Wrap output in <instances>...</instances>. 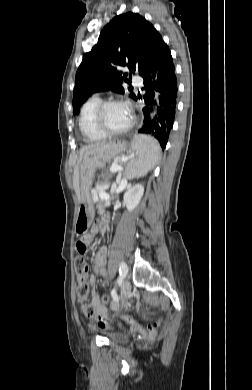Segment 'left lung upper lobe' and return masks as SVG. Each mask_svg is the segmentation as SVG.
<instances>
[{
  "label": "left lung upper lobe",
  "mask_w": 252,
  "mask_h": 390,
  "mask_svg": "<svg viewBox=\"0 0 252 390\" xmlns=\"http://www.w3.org/2000/svg\"><path fill=\"white\" fill-rule=\"evenodd\" d=\"M162 36L144 17L124 13L114 17L101 31L97 44L83 56L76 72L73 113L95 92L124 93L122 86L128 68L141 75L162 42ZM134 100L135 94H130Z\"/></svg>",
  "instance_id": "obj_1"
}]
</instances>
